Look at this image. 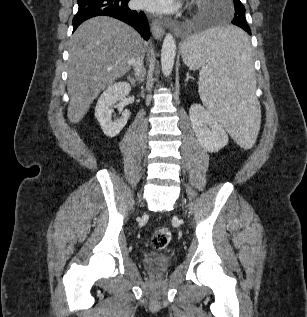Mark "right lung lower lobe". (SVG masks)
<instances>
[{
  "mask_svg": "<svg viewBox=\"0 0 307 317\" xmlns=\"http://www.w3.org/2000/svg\"><path fill=\"white\" fill-rule=\"evenodd\" d=\"M79 8L74 16L73 31L85 20L95 16H111L135 28L144 39L150 37L147 18L143 12L130 10L129 0H77Z\"/></svg>",
  "mask_w": 307,
  "mask_h": 317,
  "instance_id": "right-lung-lower-lobe-1",
  "label": "right lung lower lobe"
}]
</instances>
